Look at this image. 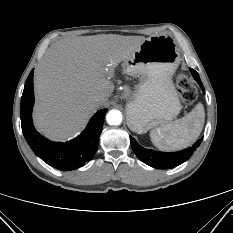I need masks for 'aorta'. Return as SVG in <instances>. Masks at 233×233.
<instances>
[{
  "label": "aorta",
  "instance_id": "1",
  "mask_svg": "<svg viewBox=\"0 0 233 233\" xmlns=\"http://www.w3.org/2000/svg\"><path fill=\"white\" fill-rule=\"evenodd\" d=\"M109 125H119L122 122V114L118 110H111L106 116Z\"/></svg>",
  "mask_w": 233,
  "mask_h": 233
}]
</instances>
